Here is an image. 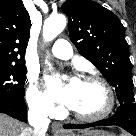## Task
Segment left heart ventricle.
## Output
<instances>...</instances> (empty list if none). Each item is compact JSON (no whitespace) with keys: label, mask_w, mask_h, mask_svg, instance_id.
I'll return each mask as SVG.
<instances>
[{"label":"left heart ventricle","mask_w":136,"mask_h":136,"mask_svg":"<svg viewBox=\"0 0 136 136\" xmlns=\"http://www.w3.org/2000/svg\"><path fill=\"white\" fill-rule=\"evenodd\" d=\"M106 102V93L98 83L82 81L72 109L83 115H94L104 109Z\"/></svg>","instance_id":"left-heart-ventricle-1"}]
</instances>
